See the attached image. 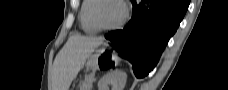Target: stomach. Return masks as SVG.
Listing matches in <instances>:
<instances>
[{
  "label": "stomach",
  "instance_id": "0dacf381",
  "mask_svg": "<svg viewBox=\"0 0 228 90\" xmlns=\"http://www.w3.org/2000/svg\"><path fill=\"white\" fill-rule=\"evenodd\" d=\"M104 49L97 50L95 54L88 57L86 67L91 69H96L103 67L106 64H113L117 61V56L112 54L111 57L106 56Z\"/></svg>",
  "mask_w": 228,
  "mask_h": 90
}]
</instances>
